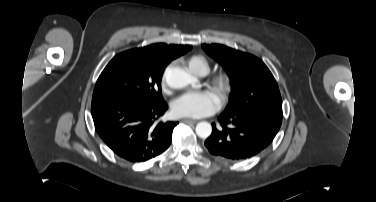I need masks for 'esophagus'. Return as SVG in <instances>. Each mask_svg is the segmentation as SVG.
I'll use <instances>...</instances> for the list:
<instances>
[{
	"mask_svg": "<svg viewBox=\"0 0 376 202\" xmlns=\"http://www.w3.org/2000/svg\"><path fill=\"white\" fill-rule=\"evenodd\" d=\"M182 122L187 123V124H194V123H196V121L192 120V119H183Z\"/></svg>",
	"mask_w": 376,
	"mask_h": 202,
	"instance_id": "esophagus-1",
	"label": "esophagus"
}]
</instances>
